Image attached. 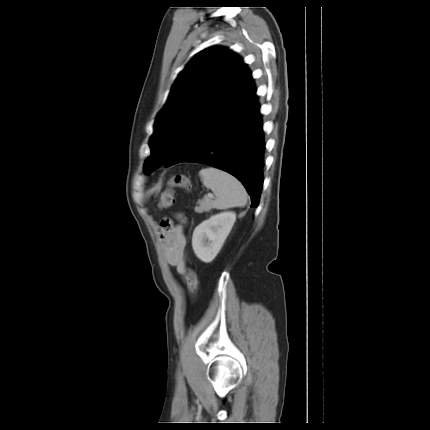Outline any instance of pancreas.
<instances>
[{
	"label": "pancreas",
	"instance_id": "1",
	"mask_svg": "<svg viewBox=\"0 0 430 430\" xmlns=\"http://www.w3.org/2000/svg\"><path fill=\"white\" fill-rule=\"evenodd\" d=\"M212 209V201L210 198H204L197 202L195 212L201 214L203 212H209Z\"/></svg>",
	"mask_w": 430,
	"mask_h": 430
}]
</instances>
